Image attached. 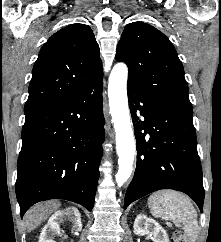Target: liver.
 Segmentation results:
<instances>
[{
    "instance_id": "obj_1",
    "label": "liver",
    "mask_w": 221,
    "mask_h": 242,
    "mask_svg": "<svg viewBox=\"0 0 221 242\" xmlns=\"http://www.w3.org/2000/svg\"><path fill=\"white\" fill-rule=\"evenodd\" d=\"M58 201H46L33 206L24 216L25 226L28 232L36 229L43 223L53 212L60 208Z\"/></svg>"
}]
</instances>
